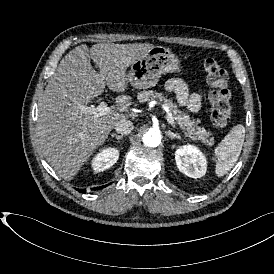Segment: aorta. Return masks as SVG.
<instances>
[{"mask_svg":"<svg viewBox=\"0 0 274 274\" xmlns=\"http://www.w3.org/2000/svg\"><path fill=\"white\" fill-rule=\"evenodd\" d=\"M161 133L159 130H149L143 135V143L145 146L157 147L161 143Z\"/></svg>","mask_w":274,"mask_h":274,"instance_id":"obj_1","label":"aorta"}]
</instances>
